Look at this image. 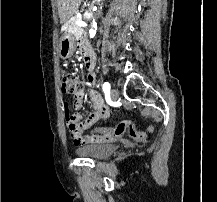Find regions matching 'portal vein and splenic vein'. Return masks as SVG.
Instances as JSON below:
<instances>
[{
	"mask_svg": "<svg viewBox=\"0 0 217 202\" xmlns=\"http://www.w3.org/2000/svg\"><path fill=\"white\" fill-rule=\"evenodd\" d=\"M74 24L75 26H83V28L86 26L85 22H82L81 18L80 20H77V22H74Z\"/></svg>",
	"mask_w": 217,
	"mask_h": 202,
	"instance_id": "portal-vein-and-splenic-vein-1",
	"label": "portal vein and splenic vein"
}]
</instances>
